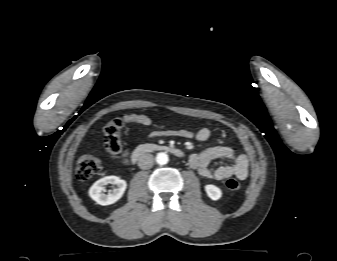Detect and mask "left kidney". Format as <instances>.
Masks as SVG:
<instances>
[{
    "instance_id": "1",
    "label": "left kidney",
    "mask_w": 337,
    "mask_h": 261,
    "mask_svg": "<svg viewBox=\"0 0 337 261\" xmlns=\"http://www.w3.org/2000/svg\"><path fill=\"white\" fill-rule=\"evenodd\" d=\"M205 191H206L208 197L211 198L212 200H218L222 196L221 189L218 188L215 185H212V184L206 185L205 186Z\"/></svg>"
}]
</instances>
